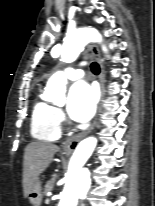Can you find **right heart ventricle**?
Here are the masks:
<instances>
[{
  "label": "right heart ventricle",
  "instance_id": "obj_1",
  "mask_svg": "<svg viewBox=\"0 0 155 206\" xmlns=\"http://www.w3.org/2000/svg\"><path fill=\"white\" fill-rule=\"evenodd\" d=\"M31 134L34 138L47 142L59 139L61 127L57 108L45 100L36 101L31 115Z\"/></svg>",
  "mask_w": 155,
  "mask_h": 206
}]
</instances>
